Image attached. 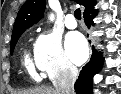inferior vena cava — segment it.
Masks as SVG:
<instances>
[{"mask_svg": "<svg viewBox=\"0 0 121 94\" xmlns=\"http://www.w3.org/2000/svg\"><path fill=\"white\" fill-rule=\"evenodd\" d=\"M77 77V68L70 63L66 64L61 78L55 84V89L58 94H74V84Z\"/></svg>", "mask_w": 121, "mask_h": 94, "instance_id": "obj_1", "label": "inferior vena cava"}]
</instances>
